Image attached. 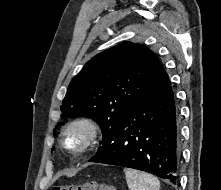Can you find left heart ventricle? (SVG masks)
<instances>
[{"instance_id":"b2bd125f","label":"left heart ventricle","mask_w":221,"mask_h":190,"mask_svg":"<svg viewBox=\"0 0 221 190\" xmlns=\"http://www.w3.org/2000/svg\"><path fill=\"white\" fill-rule=\"evenodd\" d=\"M81 141H82V132L79 130H73L67 136V142L72 146L78 145Z\"/></svg>"}]
</instances>
